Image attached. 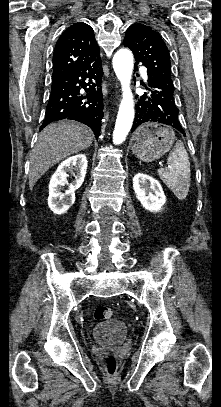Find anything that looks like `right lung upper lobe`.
Here are the masks:
<instances>
[{
  "instance_id": "1",
  "label": "right lung upper lobe",
  "mask_w": 221,
  "mask_h": 407,
  "mask_svg": "<svg viewBox=\"0 0 221 407\" xmlns=\"http://www.w3.org/2000/svg\"><path fill=\"white\" fill-rule=\"evenodd\" d=\"M99 55L93 29L74 23L58 39L53 55V75L57 78Z\"/></svg>"
}]
</instances>
